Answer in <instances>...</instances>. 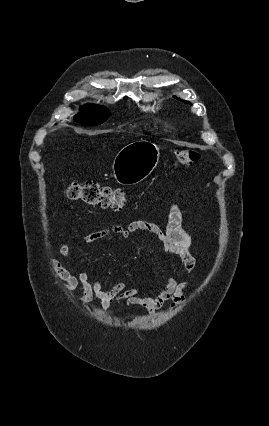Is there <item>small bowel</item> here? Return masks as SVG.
<instances>
[{
  "mask_svg": "<svg viewBox=\"0 0 269 426\" xmlns=\"http://www.w3.org/2000/svg\"><path fill=\"white\" fill-rule=\"evenodd\" d=\"M135 233H146L159 239L163 252L177 257L189 276L195 277L196 259L190 251L193 241L182 228V212L177 205L170 206L165 228L153 222L135 220L127 226L113 225L91 233L84 238V243L91 244L111 234L128 239ZM60 253L65 258H72L67 243L61 245ZM50 263L54 273L63 281L65 290L71 291L81 286L83 292L79 297V302L89 306L91 301L97 298L104 311L109 310L113 303L123 301L130 306L143 309L151 315H158L160 309L168 302H170V309L183 305L186 301L185 292L191 285L190 282H179L175 277L170 276L159 294L146 296L136 288H127L125 281L116 283L110 289H105L104 282L100 278L94 277L89 270L80 269L75 274L56 259H51Z\"/></svg>",
  "mask_w": 269,
  "mask_h": 426,
  "instance_id": "1",
  "label": "small bowel"
}]
</instances>
